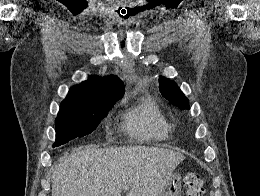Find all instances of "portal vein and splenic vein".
Masks as SVG:
<instances>
[{"mask_svg": "<svg viewBox=\"0 0 260 196\" xmlns=\"http://www.w3.org/2000/svg\"><path fill=\"white\" fill-rule=\"evenodd\" d=\"M123 192H127L129 190L128 186H125V188H122Z\"/></svg>", "mask_w": 260, "mask_h": 196, "instance_id": "1", "label": "portal vein and splenic vein"}]
</instances>
